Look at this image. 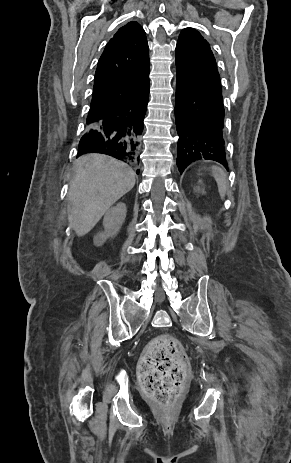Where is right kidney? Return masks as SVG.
I'll use <instances>...</instances> for the list:
<instances>
[{"instance_id": "right-kidney-1", "label": "right kidney", "mask_w": 291, "mask_h": 463, "mask_svg": "<svg viewBox=\"0 0 291 463\" xmlns=\"http://www.w3.org/2000/svg\"><path fill=\"white\" fill-rule=\"evenodd\" d=\"M126 218V206L124 203H118L110 208L104 216V231L94 236V244L101 246L109 237H114L119 232Z\"/></svg>"}]
</instances>
